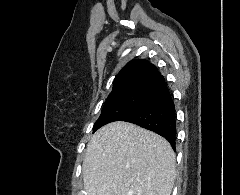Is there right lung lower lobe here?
Here are the masks:
<instances>
[{
  "instance_id": "right-lung-lower-lobe-1",
  "label": "right lung lower lobe",
  "mask_w": 240,
  "mask_h": 195,
  "mask_svg": "<svg viewBox=\"0 0 240 195\" xmlns=\"http://www.w3.org/2000/svg\"><path fill=\"white\" fill-rule=\"evenodd\" d=\"M118 121L131 122L158 133L165 137L175 150V105L165 81L149 91L138 107Z\"/></svg>"
}]
</instances>
